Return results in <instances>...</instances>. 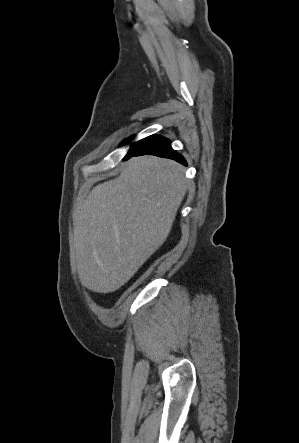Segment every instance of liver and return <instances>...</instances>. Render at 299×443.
Here are the masks:
<instances>
[{
  "label": "liver",
  "instance_id": "1",
  "mask_svg": "<svg viewBox=\"0 0 299 443\" xmlns=\"http://www.w3.org/2000/svg\"><path fill=\"white\" fill-rule=\"evenodd\" d=\"M186 190L183 166L155 156L132 158L94 187L73 237L81 284L110 293L128 282L167 239Z\"/></svg>",
  "mask_w": 299,
  "mask_h": 443
}]
</instances>
